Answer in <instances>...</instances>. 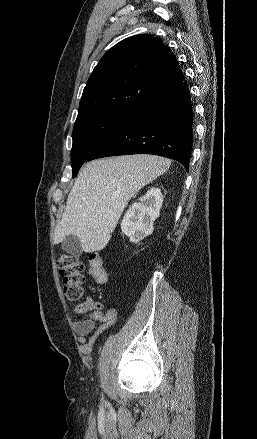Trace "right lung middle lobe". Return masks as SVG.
<instances>
[{
    "mask_svg": "<svg viewBox=\"0 0 257 439\" xmlns=\"http://www.w3.org/2000/svg\"><path fill=\"white\" fill-rule=\"evenodd\" d=\"M128 114L116 112H95L77 116L73 128L71 150L72 178L104 138L120 124Z\"/></svg>",
    "mask_w": 257,
    "mask_h": 439,
    "instance_id": "obj_1",
    "label": "right lung middle lobe"
}]
</instances>
